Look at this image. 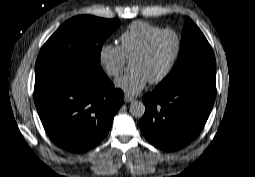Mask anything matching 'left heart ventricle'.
<instances>
[{
	"label": "left heart ventricle",
	"mask_w": 255,
	"mask_h": 177,
	"mask_svg": "<svg viewBox=\"0 0 255 177\" xmlns=\"http://www.w3.org/2000/svg\"><path fill=\"white\" fill-rule=\"evenodd\" d=\"M176 48L172 34L160 36L152 45L148 54L131 62L132 71L142 72L148 80L158 77L166 68Z\"/></svg>",
	"instance_id": "obj_1"
}]
</instances>
